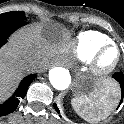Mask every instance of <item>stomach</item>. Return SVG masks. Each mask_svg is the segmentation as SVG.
<instances>
[{
    "label": "stomach",
    "mask_w": 124,
    "mask_h": 124,
    "mask_svg": "<svg viewBox=\"0 0 124 124\" xmlns=\"http://www.w3.org/2000/svg\"><path fill=\"white\" fill-rule=\"evenodd\" d=\"M101 90H108L111 92L113 90H116V88L110 81H97L89 76L83 75L80 76L79 79L76 81L73 88V93L76 97H91ZM85 120L94 122V120H92V117L86 118Z\"/></svg>",
    "instance_id": "stomach-1"
}]
</instances>
